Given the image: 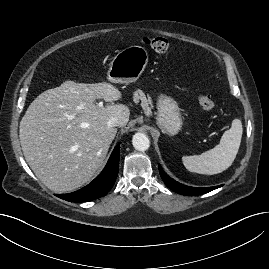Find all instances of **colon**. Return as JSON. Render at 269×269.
<instances>
[{"label": "colon", "mask_w": 269, "mask_h": 269, "mask_svg": "<svg viewBox=\"0 0 269 269\" xmlns=\"http://www.w3.org/2000/svg\"><path fill=\"white\" fill-rule=\"evenodd\" d=\"M142 42L157 53H167L170 50V43L167 39L162 37H146ZM200 106L207 111L214 109V102L210 96L202 94L198 98Z\"/></svg>", "instance_id": "1"}]
</instances>
